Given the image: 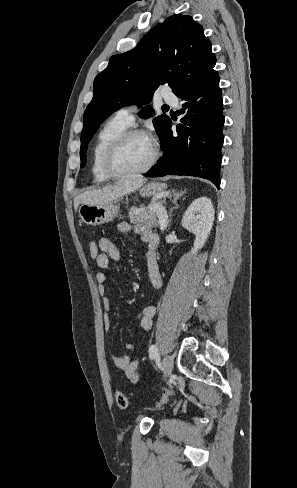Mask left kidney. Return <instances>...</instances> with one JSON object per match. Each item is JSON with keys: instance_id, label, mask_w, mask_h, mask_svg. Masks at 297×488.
I'll return each mask as SVG.
<instances>
[{"instance_id": "1", "label": "left kidney", "mask_w": 297, "mask_h": 488, "mask_svg": "<svg viewBox=\"0 0 297 488\" xmlns=\"http://www.w3.org/2000/svg\"><path fill=\"white\" fill-rule=\"evenodd\" d=\"M214 221V208L211 200L200 197L194 200L185 211L182 218V226L195 234L191 254L195 255L201 249L210 234Z\"/></svg>"}]
</instances>
